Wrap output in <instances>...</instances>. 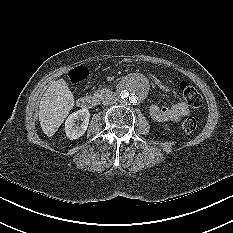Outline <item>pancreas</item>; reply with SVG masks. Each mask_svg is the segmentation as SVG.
I'll use <instances>...</instances> for the list:
<instances>
[{"label":"pancreas","mask_w":233,"mask_h":233,"mask_svg":"<svg viewBox=\"0 0 233 233\" xmlns=\"http://www.w3.org/2000/svg\"><path fill=\"white\" fill-rule=\"evenodd\" d=\"M95 93H100V94H104L105 93V89H101V90H96Z\"/></svg>","instance_id":"1"}]
</instances>
